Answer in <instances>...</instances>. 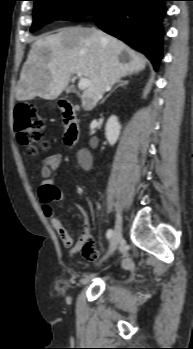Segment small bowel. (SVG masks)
Listing matches in <instances>:
<instances>
[{"label":"small bowel","instance_id":"1","mask_svg":"<svg viewBox=\"0 0 193 349\" xmlns=\"http://www.w3.org/2000/svg\"><path fill=\"white\" fill-rule=\"evenodd\" d=\"M62 162L61 154H53L45 158L42 162L40 175L41 183L38 188V195L41 202L48 204L54 201L67 199L62 192L54 186L53 176L55 170L60 166ZM83 169L89 170L91 167V159L85 155L81 160ZM75 205L81 210L85 211V208L80 203ZM51 224L57 232L61 243L64 247L70 249L72 256L82 255L87 260H94L98 256V251L93 247L92 240L87 233H84L78 243L73 245V239L67 229L63 226L60 219L51 217Z\"/></svg>","mask_w":193,"mask_h":349}]
</instances>
